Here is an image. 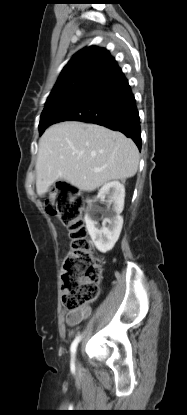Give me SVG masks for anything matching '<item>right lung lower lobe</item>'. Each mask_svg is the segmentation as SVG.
<instances>
[{
  "label": "right lung lower lobe",
  "mask_w": 187,
  "mask_h": 415,
  "mask_svg": "<svg viewBox=\"0 0 187 415\" xmlns=\"http://www.w3.org/2000/svg\"><path fill=\"white\" fill-rule=\"evenodd\" d=\"M62 121L95 123L118 130L141 149L136 100L114 60L78 81L50 115V125Z\"/></svg>",
  "instance_id": "right-lung-lower-lobe-1"
}]
</instances>
